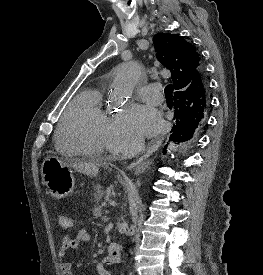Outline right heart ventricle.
<instances>
[{
    "label": "right heart ventricle",
    "mask_w": 263,
    "mask_h": 275,
    "mask_svg": "<svg viewBox=\"0 0 263 275\" xmlns=\"http://www.w3.org/2000/svg\"><path fill=\"white\" fill-rule=\"evenodd\" d=\"M110 117L99 88L81 91L66 108L56 131L59 152L69 156H98L107 146Z\"/></svg>",
    "instance_id": "1"
}]
</instances>
